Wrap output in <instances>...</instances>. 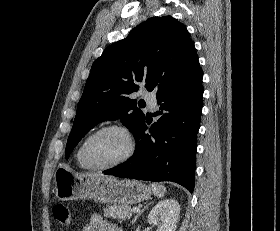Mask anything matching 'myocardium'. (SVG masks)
I'll use <instances>...</instances> for the list:
<instances>
[{
  "mask_svg": "<svg viewBox=\"0 0 280 231\" xmlns=\"http://www.w3.org/2000/svg\"><path fill=\"white\" fill-rule=\"evenodd\" d=\"M107 131H118L119 133H121L124 138L126 139V143H127V147L126 150L124 152V154L117 160L111 162L110 164L104 165V166H97L94 165L88 158L87 156V149L88 146L90 144V142L97 137L98 135L107 132ZM134 152V141L128 131V129L122 125L119 124H108L105 126H102L100 128H98L97 130H95L94 132H92L90 135L87 136V138L85 139L82 148H81V153H80V158L81 161L83 162V164L91 169V170H96V171H103V170H107L116 166H119L123 163H125L126 161H128L131 156L133 155Z\"/></svg>",
  "mask_w": 280,
  "mask_h": 231,
  "instance_id": "myocardium-1",
  "label": "myocardium"
}]
</instances>
